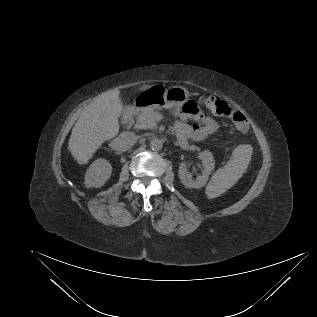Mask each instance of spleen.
I'll use <instances>...</instances> for the list:
<instances>
[{"label": "spleen", "instance_id": "1", "mask_svg": "<svg viewBox=\"0 0 317 317\" xmlns=\"http://www.w3.org/2000/svg\"><path fill=\"white\" fill-rule=\"evenodd\" d=\"M251 155L252 147L250 145L236 147L227 164L214 173L206 186L207 197L216 198L231 188L248 167Z\"/></svg>", "mask_w": 317, "mask_h": 317}]
</instances>
